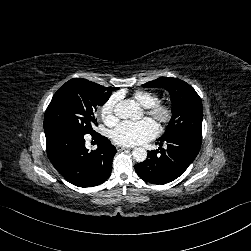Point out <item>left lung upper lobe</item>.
<instances>
[{"mask_svg":"<svg viewBox=\"0 0 251 251\" xmlns=\"http://www.w3.org/2000/svg\"><path fill=\"white\" fill-rule=\"evenodd\" d=\"M142 86L165 88L171 96L173 115L166 132L158 140L181 133L202 137V101L192 86L172 77H160Z\"/></svg>","mask_w":251,"mask_h":251,"instance_id":"obj_1","label":"left lung upper lobe"}]
</instances>
